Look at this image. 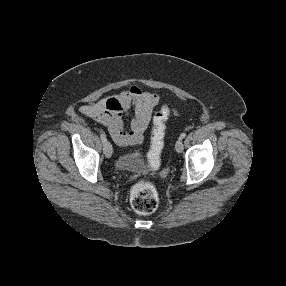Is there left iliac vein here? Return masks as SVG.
<instances>
[{
  "label": "left iliac vein",
  "mask_w": 286,
  "mask_h": 286,
  "mask_svg": "<svg viewBox=\"0 0 286 286\" xmlns=\"http://www.w3.org/2000/svg\"><path fill=\"white\" fill-rule=\"evenodd\" d=\"M183 148H184V146H183V141H182V139L179 138V139L176 141L175 149H176V151H177L178 153H181V152L183 151Z\"/></svg>",
  "instance_id": "obj_1"
}]
</instances>
